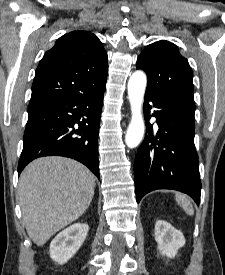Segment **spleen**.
<instances>
[{
	"instance_id": "obj_1",
	"label": "spleen",
	"mask_w": 225,
	"mask_h": 275,
	"mask_svg": "<svg viewBox=\"0 0 225 275\" xmlns=\"http://www.w3.org/2000/svg\"><path fill=\"white\" fill-rule=\"evenodd\" d=\"M176 202L183 208L188 215L194 214V208L188 198L182 194H176Z\"/></svg>"
}]
</instances>
